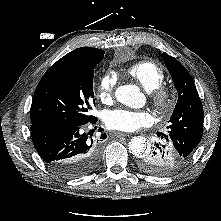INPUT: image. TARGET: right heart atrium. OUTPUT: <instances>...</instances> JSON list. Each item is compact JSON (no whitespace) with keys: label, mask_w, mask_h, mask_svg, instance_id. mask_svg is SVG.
<instances>
[{"label":"right heart atrium","mask_w":221,"mask_h":221,"mask_svg":"<svg viewBox=\"0 0 221 221\" xmlns=\"http://www.w3.org/2000/svg\"><path fill=\"white\" fill-rule=\"evenodd\" d=\"M116 77L111 72L103 74L97 84L96 96L101 102H109L112 98Z\"/></svg>","instance_id":"1"}]
</instances>
